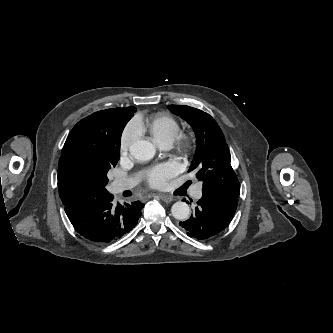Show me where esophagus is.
I'll use <instances>...</instances> for the list:
<instances>
[{
	"instance_id": "obj_1",
	"label": "esophagus",
	"mask_w": 333,
	"mask_h": 333,
	"mask_svg": "<svg viewBox=\"0 0 333 333\" xmlns=\"http://www.w3.org/2000/svg\"><path fill=\"white\" fill-rule=\"evenodd\" d=\"M160 199L166 203H170L174 200L172 196H168V195H160Z\"/></svg>"
}]
</instances>
